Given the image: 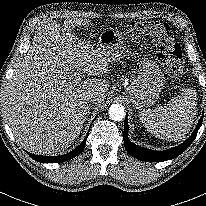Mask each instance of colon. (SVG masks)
Instances as JSON below:
<instances>
[{
	"instance_id": "colon-1",
	"label": "colon",
	"mask_w": 206,
	"mask_h": 206,
	"mask_svg": "<svg viewBox=\"0 0 206 206\" xmlns=\"http://www.w3.org/2000/svg\"><path fill=\"white\" fill-rule=\"evenodd\" d=\"M131 37L147 35L155 41L157 56L166 72L179 79L184 74V62L179 45L169 25L163 21H135L128 28Z\"/></svg>"
}]
</instances>
